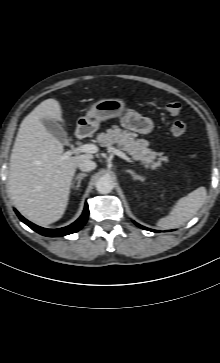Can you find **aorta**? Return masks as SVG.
I'll return each instance as SVG.
<instances>
[{"label":"aorta","mask_w":220,"mask_h":363,"mask_svg":"<svg viewBox=\"0 0 220 363\" xmlns=\"http://www.w3.org/2000/svg\"><path fill=\"white\" fill-rule=\"evenodd\" d=\"M113 181L110 177H100L96 182V190L101 194H108L113 190Z\"/></svg>","instance_id":"762f6f07"}]
</instances>
